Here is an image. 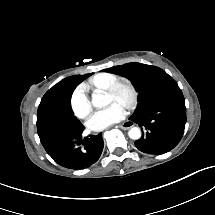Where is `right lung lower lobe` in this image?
<instances>
[{"instance_id":"right-lung-lower-lobe-1","label":"right lung lower lobe","mask_w":215,"mask_h":215,"mask_svg":"<svg viewBox=\"0 0 215 215\" xmlns=\"http://www.w3.org/2000/svg\"><path fill=\"white\" fill-rule=\"evenodd\" d=\"M81 129L51 127L38 131L46 152L59 165L69 169H84L94 164L103 150L101 133L82 137Z\"/></svg>"}]
</instances>
